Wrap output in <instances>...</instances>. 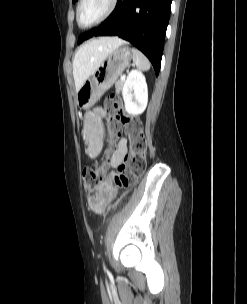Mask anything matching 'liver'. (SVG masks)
Listing matches in <instances>:
<instances>
[{
  "label": "liver",
  "instance_id": "6515ba94",
  "mask_svg": "<svg viewBox=\"0 0 247 304\" xmlns=\"http://www.w3.org/2000/svg\"><path fill=\"white\" fill-rule=\"evenodd\" d=\"M125 43L118 37H101L81 45L73 59L76 91L82 87L110 53Z\"/></svg>",
  "mask_w": 247,
  "mask_h": 304
}]
</instances>
